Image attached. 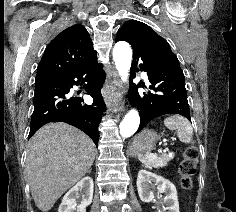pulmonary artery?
<instances>
[{
	"mask_svg": "<svg viewBox=\"0 0 236 212\" xmlns=\"http://www.w3.org/2000/svg\"><path fill=\"white\" fill-rule=\"evenodd\" d=\"M144 78H147V75L145 73L142 74Z\"/></svg>",
	"mask_w": 236,
	"mask_h": 212,
	"instance_id": "1",
	"label": "pulmonary artery"
}]
</instances>
